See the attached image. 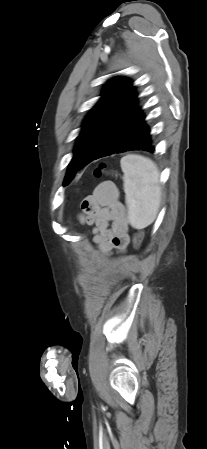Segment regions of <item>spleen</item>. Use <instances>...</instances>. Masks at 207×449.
Wrapping results in <instances>:
<instances>
[{
  "instance_id": "spleen-1",
  "label": "spleen",
  "mask_w": 207,
  "mask_h": 449,
  "mask_svg": "<svg viewBox=\"0 0 207 449\" xmlns=\"http://www.w3.org/2000/svg\"><path fill=\"white\" fill-rule=\"evenodd\" d=\"M128 221L135 229H143L156 219L161 187L159 170L149 158L126 155L120 161Z\"/></svg>"
}]
</instances>
